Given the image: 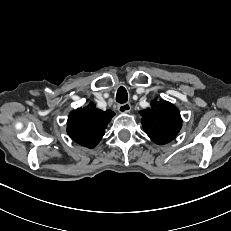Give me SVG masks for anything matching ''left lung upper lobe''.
Masks as SVG:
<instances>
[{"label":"left lung upper lobe","instance_id":"1","mask_svg":"<svg viewBox=\"0 0 231 231\" xmlns=\"http://www.w3.org/2000/svg\"><path fill=\"white\" fill-rule=\"evenodd\" d=\"M145 133L156 144L172 141L181 129L182 119L179 110L170 102L154 99L151 107L140 111Z\"/></svg>","mask_w":231,"mask_h":231}]
</instances>
